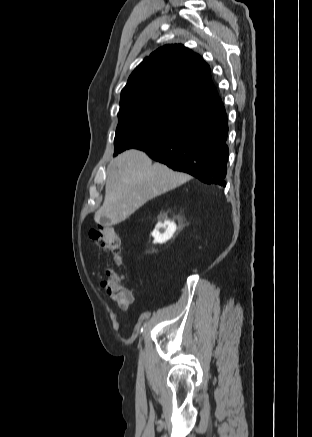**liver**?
<instances>
[{
    "instance_id": "6515ba94",
    "label": "liver",
    "mask_w": 312,
    "mask_h": 437,
    "mask_svg": "<svg viewBox=\"0 0 312 437\" xmlns=\"http://www.w3.org/2000/svg\"><path fill=\"white\" fill-rule=\"evenodd\" d=\"M191 176L175 172L164 164L152 163L136 149L118 155L107 170L105 200L94 219L103 225L126 220L147 201L186 183ZM101 219L105 222L101 223Z\"/></svg>"
}]
</instances>
